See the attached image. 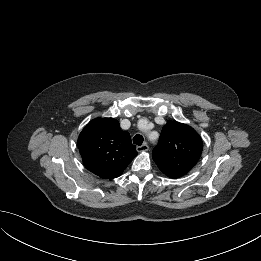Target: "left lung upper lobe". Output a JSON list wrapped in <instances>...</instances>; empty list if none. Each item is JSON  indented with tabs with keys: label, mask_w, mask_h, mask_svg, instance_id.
I'll use <instances>...</instances> for the list:
<instances>
[{
	"label": "left lung upper lobe",
	"mask_w": 261,
	"mask_h": 261,
	"mask_svg": "<svg viewBox=\"0 0 261 261\" xmlns=\"http://www.w3.org/2000/svg\"><path fill=\"white\" fill-rule=\"evenodd\" d=\"M203 149L199 134L190 126L169 121L162 129L152 158L170 178H180L198 162Z\"/></svg>",
	"instance_id": "obj_1"
}]
</instances>
